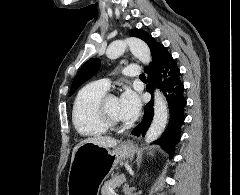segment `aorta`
<instances>
[{
    "label": "aorta",
    "instance_id": "762f6f07",
    "mask_svg": "<svg viewBox=\"0 0 240 195\" xmlns=\"http://www.w3.org/2000/svg\"><path fill=\"white\" fill-rule=\"evenodd\" d=\"M126 48H129L131 54L138 58L142 64H149L151 62V52L145 42L138 40V38H127V40H117V42H112L110 44L106 56L110 60H115L124 54ZM168 121V107L166 98L159 90L154 92V117L152 123L145 135V141L150 143L157 139L161 133H163L166 123Z\"/></svg>",
    "mask_w": 240,
    "mask_h": 195
}]
</instances>
